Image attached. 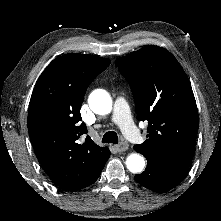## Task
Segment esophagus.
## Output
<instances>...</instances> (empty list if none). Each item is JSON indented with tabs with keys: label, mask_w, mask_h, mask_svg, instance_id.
Listing matches in <instances>:
<instances>
[{
	"label": "esophagus",
	"mask_w": 221,
	"mask_h": 221,
	"mask_svg": "<svg viewBox=\"0 0 221 221\" xmlns=\"http://www.w3.org/2000/svg\"><path fill=\"white\" fill-rule=\"evenodd\" d=\"M117 152H123L128 149V144L126 142H121L120 144L115 146Z\"/></svg>",
	"instance_id": "obj_1"
}]
</instances>
